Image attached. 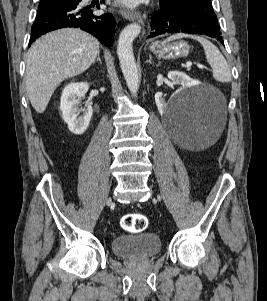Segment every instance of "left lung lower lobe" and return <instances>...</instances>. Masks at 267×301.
I'll return each instance as SVG.
<instances>
[{
  "instance_id": "1",
  "label": "left lung lower lobe",
  "mask_w": 267,
  "mask_h": 301,
  "mask_svg": "<svg viewBox=\"0 0 267 301\" xmlns=\"http://www.w3.org/2000/svg\"><path fill=\"white\" fill-rule=\"evenodd\" d=\"M150 26L148 38L165 33L203 34L216 38L223 44L218 23L184 8L161 6L153 15Z\"/></svg>"
}]
</instances>
